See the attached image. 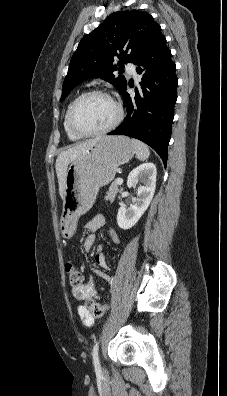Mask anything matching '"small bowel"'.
<instances>
[{
	"instance_id": "c3829d8e",
	"label": "small bowel",
	"mask_w": 227,
	"mask_h": 396,
	"mask_svg": "<svg viewBox=\"0 0 227 396\" xmlns=\"http://www.w3.org/2000/svg\"><path fill=\"white\" fill-rule=\"evenodd\" d=\"M105 225H106V219L101 214L94 216L92 219H90L86 223L85 228L87 231L90 232V234H88L86 236L84 243H83V247L86 251L91 250L95 244L96 237L92 233L101 229ZM109 236L113 243H115V244L119 243V241H120L119 236L114 229H109ZM95 261H96V264L101 269H103V270L108 269V264H107L105 257L100 249L95 256ZM100 283L111 284V278L109 275H107L103 271H95L90 276L89 280L86 283H83L79 287L72 289L73 296L79 300L99 299L98 285ZM78 315H79L80 319L82 320V322L84 323V325L91 326L94 323L95 317L84 305H80L78 307Z\"/></svg>"
}]
</instances>
